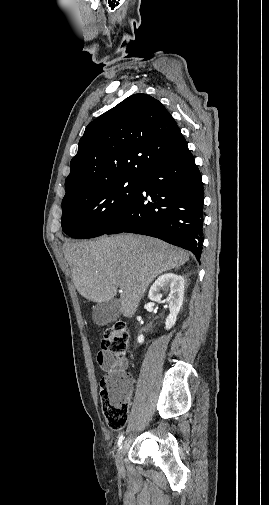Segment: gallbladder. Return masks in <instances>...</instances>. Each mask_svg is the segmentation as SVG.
<instances>
[{
    "instance_id": "obj_1",
    "label": "gallbladder",
    "mask_w": 269,
    "mask_h": 505,
    "mask_svg": "<svg viewBox=\"0 0 269 505\" xmlns=\"http://www.w3.org/2000/svg\"><path fill=\"white\" fill-rule=\"evenodd\" d=\"M121 315V305L117 299L98 303L93 307L92 318L99 326L116 321Z\"/></svg>"
}]
</instances>
